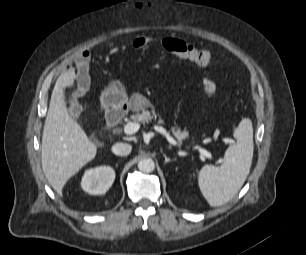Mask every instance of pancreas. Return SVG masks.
<instances>
[{
	"instance_id": "pancreas-1",
	"label": "pancreas",
	"mask_w": 306,
	"mask_h": 255,
	"mask_svg": "<svg viewBox=\"0 0 306 255\" xmlns=\"http://www.w3.org/2000/svg\"><path fill=\"white\" fill-rule=\"evenodd\" d=\"M136 100V99H134ZM149 106V102L143 98L140 103H136L133 107V110L136 112L135 114L131 115V119L136 123H149L152 120L158 119V124H163L164 121L162 120L161 116L155 112L154 109L151 111L146 110L145 108ZM141 111V113H140ZM173 135L177 138L179 142L188 138L189 134L186 130L181 131L180 129H176L174 127L171 128Z\"/></svg>"
}]
</instances>
